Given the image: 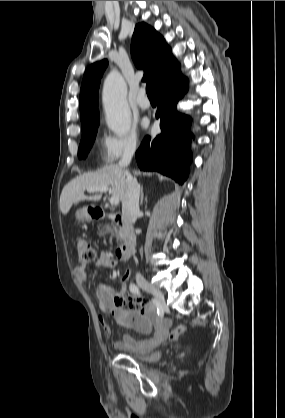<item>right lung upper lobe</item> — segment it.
<instances>
[{
    "instance_id": "1",
    "label": "right lung upper lobe",
    "mask_w": 285,
    "mask_h": 418,
    "mask_svg": "<svg viewBox=\"0 0 285 418\" xmlns=\"http://www.w3.org/2000/svg\"><path fill=\"white\" fill-rule=\"evenodd\" d=\"M131 55L135 65L144 69L143 81L152 80L160 92L180 74L179 63L171 49L156 30L145 23L135 26L131 43ZM108 66L107 59L93 63L85 72L80 90L81 125L99 120L98 90L101 77Z\"/></svg>"
}]
</instances>
